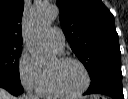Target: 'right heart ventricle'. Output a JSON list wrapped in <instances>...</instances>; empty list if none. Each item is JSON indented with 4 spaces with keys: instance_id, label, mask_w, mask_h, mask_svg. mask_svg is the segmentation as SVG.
<instances>
[{
    "instance_id": "e07e8e85",
    "label": "right heart ventricle",
    "mask_w": 128,
    "mask_h": 99,
    "mask_svg": "<svg viewBox=\"0 0 128 99\" xmlns=\"http://www.w3.org/2000/svg\"><path fill=\"white\" fill-rule=\"evenodd\" d=\"M46 74V77H45V81H44V84L43 86L41 87V89L38 91V93L40 95H42L43 97H46V98H53L55 96H58L52 89L51 87V84H50V81H49V76H48V73L45 72Z\"/></svg>"
}]
</instances>
